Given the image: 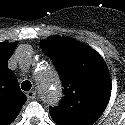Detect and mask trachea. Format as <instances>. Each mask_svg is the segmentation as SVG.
Instances as JSON below:
<instances>
[{"instance_id": "obj_1", "label": "trachea", "mask_w": 125, "mask_h": 125, "mask_svg": "<svg viewBox=\"0 0 125 125\" xmlns=\"http://www.w3.org/2000/svg\"><path fill=\"white\" fill-rule=\"evenodd\" d=\"M32 87V84L30 81L26 80V81H23L22 84H21V88L22 90L24 91H29Z\"/></svg>"}]
</instances>
